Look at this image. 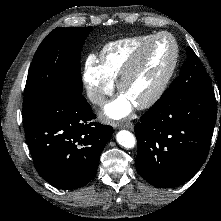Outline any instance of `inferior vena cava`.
<instances>
[{
    "label": "inferior vena cava",
    "mask_w": 221,
    "mask_h": 221,
    "mask_svg": "<svg viewBox=\"0 0 221 221\" xmlns=\"http://www.w3.org/2000/svg\"><path fill=\"white\" fill-rule=\"evenodd\" d=\"M88 97L92 103L100 106L104 105L106 101L105 96L97 92H89Z\"/></svg>",
    "instance_id": "obj_1"
}]
</instances>
